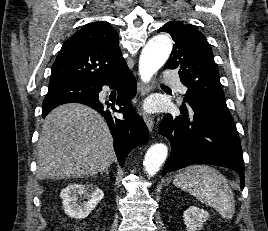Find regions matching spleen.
<instances>
[{"label":"spleen","mask_w":268,"mask_h":231,"mask_svg":"<svg viewBox=\"0 0 268 231\" xmlns=\"http://www.w3.org/2000/svg\"><path fill=\"white\" fill-rule=\"evenodd\" d=\"M174 185L189 192L202 203L213 207L223 218L231 219L235 200L226 178L208 165H192L182 169Z\"/></svg>","instance_id":"spleen-1"}]
</instances>
